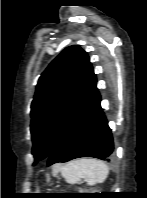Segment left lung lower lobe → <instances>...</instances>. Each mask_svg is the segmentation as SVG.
<instances>
[{
  "instance_id": "left-lung-lower-lobe-1",
  "label": "left lung lower lobe",
  "mask_w": 147,
  "mask_h": 198,
  "mask_svg": "<svg viewBox=\"0 0 147 198\" xmlns=\"http://www.w3.org/2000/svg\"><path fill=\"white\" fill-rule=\"evenodd\" d=\"M100 100L95 85L81 110L53 146L47 165L80 157L110 160L114 149L113 138L100 106Z\"/></svg>"
}]
</instances>
